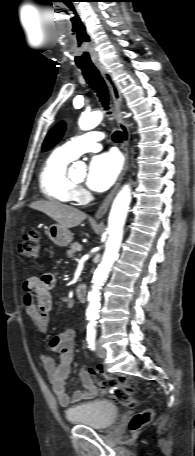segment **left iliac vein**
I'll return each mask as SVG.
<instances>
[{"label":"left iliac vein","mask_w":195,"mask_h":456,"mask_svg":"<svg viewBox=\"0 0 195 456\" xmlns=\"http://www.w3.org/2000/svg\"><path fill=\"white\" fill-rule=\"evenodd\" d=\"M95 352H96L97 356L100 358H105L107 355L106 349L103 348L99 342L96 344Z\"/></svg>","instance_id":"1"}]
</instances>
